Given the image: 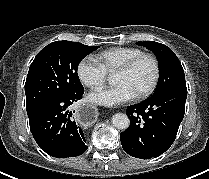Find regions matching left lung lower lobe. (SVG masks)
<instances>
[{"label": "left lung lower lobe", "mask_w": 209, "mask_h": 179, "mask_svg": "<svg viewBox=\"0 0 209 179\" xmlns=\"http://www.w3.org/2000/svg\"><path fill=\"white\" fill-rule=\"evenodd\" d=\"M186 98L187 89H176L128 106L130 126L120 134L125 152L141 159L164 153L175 140Z\"/></svg>", "instance_id": "left-lung-lower-lobe-1"}]
</instances>
